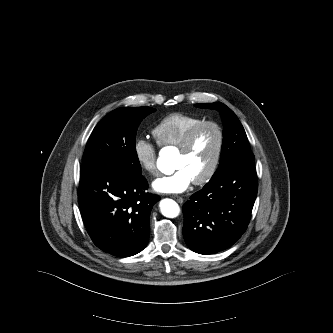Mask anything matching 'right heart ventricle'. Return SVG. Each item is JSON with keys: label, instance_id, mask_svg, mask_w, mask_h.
<instances>
[{"label": "right heart ventricle", "instance_id": "1", "mask_svg": "<svg viewBox=\"0 0 333 333\" xmlns=\"http://www.w3.org/2000/svg\"><path fill=\"white\" fill-rule=\"evenodd\" d=\"M204 119L182 113L164 117L153 129V135L160 146L179 147L187 134Z\"/></svg>", "mask_w": 333, "mask_h": 333}]
</instances>
